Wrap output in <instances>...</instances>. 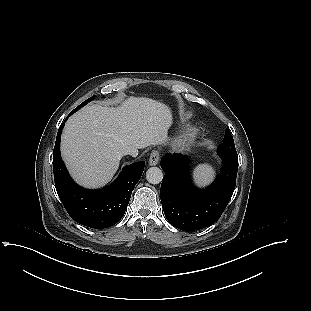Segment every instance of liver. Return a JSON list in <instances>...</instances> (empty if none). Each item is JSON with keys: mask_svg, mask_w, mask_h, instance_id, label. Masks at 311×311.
Wrapping results in <instances>:
<instances>
[{"mask_svg": "<svg viewBox=\"0 0 311 311\" xmlns=\"http://www.w3.org/2000/svg\"><path fill=\"white\" fill-rule=\"evenodd\" d=\"M172 124L163 103L130 97L120 107L86 106L71 116L61 137V154L79 184L95 188L108 183L124 155L162 144Z\"/></svg>", "mask_w": 311, "mask_h": 311, "instance_id": "obj_1", "label": "liver"}]
</instances>
